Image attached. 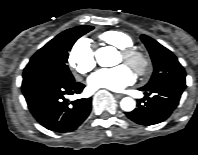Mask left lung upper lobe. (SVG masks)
Listing matches in <instances>:
<instances>
[{
	"label": "left lung upper lobe",
	"instance_id": "1",
	"mask_svg": "<svg viewBox=\"0 0 198 155\" xmlns=\"http://www.w3.org/2000/svg\"><path fill=\"white\" fill-rule=\"evenodd\" d=\"M141 40L147 47L154 65L150 81L142 88L150 89L164 83L185 84V70L175 55L146 35H142Z\"/></svg>",
	"mask_w": 198,
	"mask_h": 155
}]
</instances>
